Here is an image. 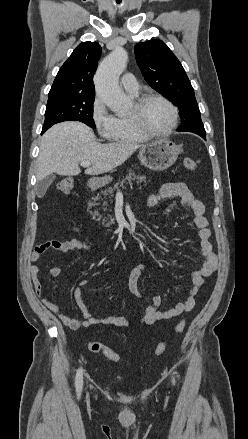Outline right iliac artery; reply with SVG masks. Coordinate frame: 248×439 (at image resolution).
Wrapping results in <instances>:
<instances>
[{"mask_svg":"<svg viewBox=\"0 0 248 439\" xmlns=\"http://www.w3.org/2000/svg\"><path fill=\"white\" fill-rule=\"evenodd\" d=\"M75 385H76L77 392H81L82 385H83V370H82V368H80L77 371L76 379H75Z\"/></svg>","mask_w":248,"mask_h":439,"instance_id":"right-iliac-artery-1","label":"right iliac artery"}]
</instances>
